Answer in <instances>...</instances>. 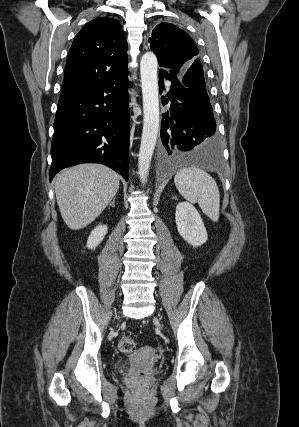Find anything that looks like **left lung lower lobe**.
I'll return each mask as SVG.
<instances>
[{
	"instance_id": "obj_1",
	"label": "left lung lower lobe",
	"mask_w": 299,
	"mask_h": 427,
	"mask_svg": "<svg viewBox=\"0 0 299 427\" xmlns=\"http://www.w3.org/2000/svg\"><path fill=\"white\" fill-rule=\"evenodd\" d=\"M159 75L160 93L164 88L163 78L172 82L168 95L161 99L163 105L171 102L161 123L163 161H184L206 169H218L220 143L207 92L186 87L177 78L180 70L161 67Z\"/></svg>"
}]
</instances>
